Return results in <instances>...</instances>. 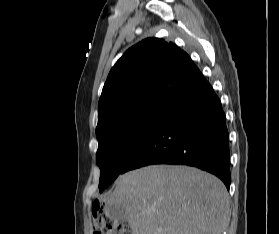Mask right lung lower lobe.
Wrapping results in <instances>:
<instances>
[{"instance_id":"right-lung-lower-lobe-1","label":"right lung lower lobe","mask_w":279,"mask_h":234,"mask_svg":"<svg viewBox=\"0 0 279 234\" xmlns=\"http://www.w3.org/2000/svg\"><path fill=\"white\" fill-rule=\"evenodd\" d=\"M228 130L221 102L201 74L165 110L123 168L151 164L195 166L230 187Z\"/></svg>"}]
</instances>
